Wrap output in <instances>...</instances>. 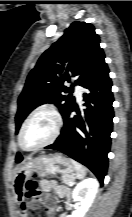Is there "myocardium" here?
<instances>
[{
    "label": "myocardium",
    "instance_id": "myocardium-1",
    "mask_svg": "<svg viewBox=\"0 0 132 217\" xmlns=\"http://www.w3.org/2000/svg\"><path fill=\"white\" fill-rule=\"evenodd\" d=\"M41 111H47L49 113H51L55 119V128H54V132L52 134V136L45 141L44 143L33 147V148H28L23 144V133L24 130L27 126V124L30 122V120L39 112ZM63 126V118L62 115L60 113V111L57 109V107L53 104L50 103H45V104H41L38 107H36L29 115L28 117L25 119V121L22 124L21 130L19 132V136H18V141H19V145L20 147L25 150V151H38L44 147L49 146L50 144H52L53 142L56 141V139L59 137L60 133H61V129Z\"/></svg>",
    "mask_w": 132,
    "mask_h": 217
}]
</instances>
